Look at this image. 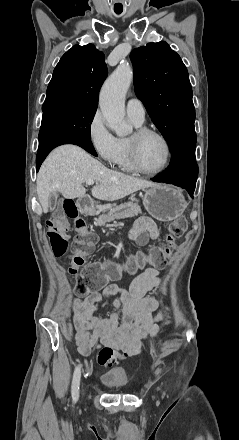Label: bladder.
I'll list each match as a JSON object with an SVG mask.
<instances>
[{
    "label": "bladder",
    "instance_id": "bladder-1",
    "mask_svg": "<svg viewBox=\"0 0 239 440\" xmlns=\"http://www.w3.org/2000/svg\"><path fill=\"white\" fill-rule=\"evenodd\" d=\"M100 380L105 387L114 390L125 388L129 382L128 375L123 369L110 370L104 373Z\"/></svg>",
    "mask_w": 239,
    "mask_h": 440
}]
</instances>
